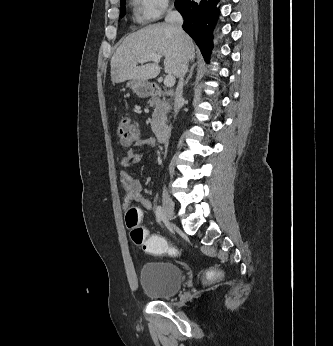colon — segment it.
I'll return each mask as SVG.
<instances>
[{"mask_svg": "<svg viewBox=\"0 0 333 346\" xmlns=\"http://www.w3.org/2000/svg\"><path fill=\"white\" fill-rule=\"evenodd\" d=\"M118 138L123 147L135 145L138 141L137 125L128 118H123L118 126ZM126 226L130 229L133 242L142 247L144 254L149 256H170L171 251H179V244H166L168 235H148L147 230L141 226V211L136 205H129L125 215ZM175 260L181 259L180 253L174 254ZM205 276L209 280H218L223 276V269H205Z\"/></svg>", "mask_w": 333, "mask_h": 346, "instance_id": "colon-1", "label": "colon"}]
</instances>
